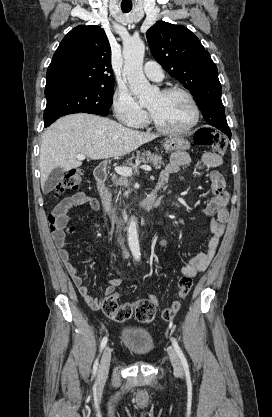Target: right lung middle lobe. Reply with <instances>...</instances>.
Returning a JSON list of instances; mask_svg holds the SVG:
<instances>
[{"instance_id": "obj_1", "label": "right lung middle lobe", "mask_w": 272, "mask_h": 417, "mask_svg": "<svg viewBox=\"0 0 272 417\" xmlns=\"http://www.w3.org/2000/svg\"><path fill=\"white\" fill-rule=\"evenodd\" d=\"M114 85L106 87H66L45 91L47 105L44 125L61 116L86 112L108 115L112 104Z\"/></svg>"}]
</instances>
